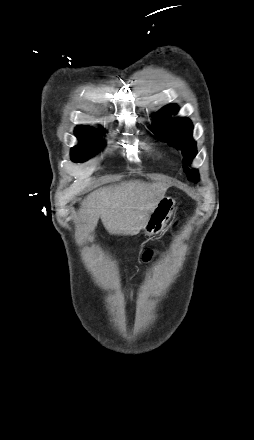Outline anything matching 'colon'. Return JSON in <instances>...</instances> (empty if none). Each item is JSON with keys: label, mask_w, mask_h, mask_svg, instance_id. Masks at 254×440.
<instances>
[{"label": "colon", "mask_w": 254, "mask_h": 440, "mask_svg": "<svg viewBox=\"0 0 254 440\" xmlns=\"http://www.w3.org/2000/svg\"><path fill=\"white\" fill-rule=\"evenodd\" d=\"M155 255V251L154 250H152V249H147V250H145L144 251V253H143V261L144 262H149L152 258H153V256Z\"/></svg>", "instance_id": "colon-1"}]
</instances>
